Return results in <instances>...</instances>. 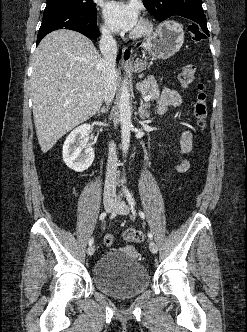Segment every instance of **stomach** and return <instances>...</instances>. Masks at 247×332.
<instances>
[{"mask_svg": "<svg viewBox=\"0 0 247 332\" xmlns=\"http://www.w3.org/2000/svg\"><path fill=\"white\" fill-rule=\"evenodd\" d=\"M184 42L183 27L174 21L161 23L155 32L143 44L145 50L155 59H167L179 52ZM146 63L137 62L133 71L141 73Z\"/></svg>", "mask_w": 247, "mask_h": 332, "instance_id": "1", "label": "stomach"}]
</instances>
